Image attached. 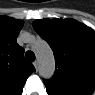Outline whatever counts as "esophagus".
<instances>
[{
  "label": "esophagus",
  "mask_w": 95,
  "mask_h": 95,
  "mask_svg": "<svg viewBox=\"0 0 95 95\" xmlns=\"http://www.w3.org/2000/svg\"><path fill=\"white\" fill-rule=\"evenodd\" d=\"M33 65H34L35 69L38 70V67H39L38 61H35V62L33 63Z\"/></svg>",
  "instance_id": "esophagus-1"
}]
</instances>
